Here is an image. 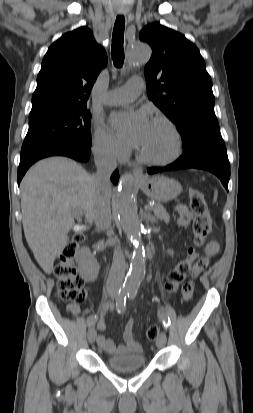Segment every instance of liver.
<instances>
[{
	"instance_id": "6515ba94",
	"label": "liver",
	"mask_w": 253,
	"mask_h": 413,
	"mask_svg": "<svg viewBox=\"0 0 253 413\" xmlns=\"http://www.w3.org/2000/svg\"><path fill=\"white\" fill-rule=\"evenodd\" d=\"M20 187L26 241L44 272L51 274L74 226V211L84 212L89 223L94 220V176L72 159L50 157L33 165Z\"/></svg>"
}]
</instances>
